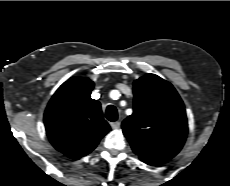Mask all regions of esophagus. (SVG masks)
<instances>
[{
	"mask_svg": "<svg viewBox=\"0 0 230 186\" xmlns=\"http://www.w3.org/2000/svg\"><path fill=\"white\" fill-rule=\"evenodd\" d=\"M110 125L113 129H119L121 123L119 121H115V122H112Z\"/></svg>",
	"mask_w": 230,
	"mask_h": 186,
	"instance_id": "esophagus-1",
	"label": "esophagus"
}]
</instances>
